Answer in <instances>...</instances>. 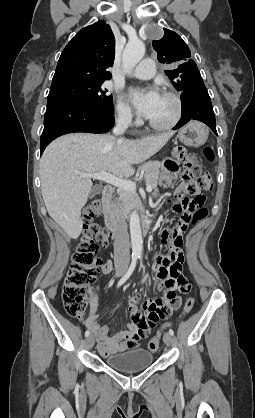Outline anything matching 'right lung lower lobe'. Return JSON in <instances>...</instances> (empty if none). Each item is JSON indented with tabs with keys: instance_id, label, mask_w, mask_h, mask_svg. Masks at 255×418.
<instances>
[{
	"instance_id": "98d812e1",
	"label": "right lung lower lobe",
	"mask_w": 255,
	"mask_h": 418,
	"mask_svg": "<svg viewBox=\"0 0 255 418\" xmlns=\"http://www.w3.org/2000/svg\"><path fill=\"white\" fill-rule=\"evenodd\" d=\"M114 126L113 115H105L89 105L73 100L47 102L40 151L55 138L74 132L105 133Z\"/></svg>"
}]
</instances>
